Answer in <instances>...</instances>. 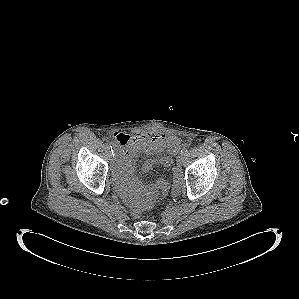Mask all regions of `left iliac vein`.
I'll return each instance as SVG.
<instances>
[{
	"label": "left iliac vein",
	"instance_id": "left-iliac-vein-1",
	"mask_svg": "<svg viewBox=\"0 0 299 299\" xmlns=\"http://www.w3.org/2000/svg\"><path fill=\"white\" fill-rule=\"evenodd\" d=\"M176 161L178 165H182L184 162V154L181 153L180 155H178Z\"/></svg>",
	"mask_w": 299,
	"mask_h": 299
}]
</instances>
